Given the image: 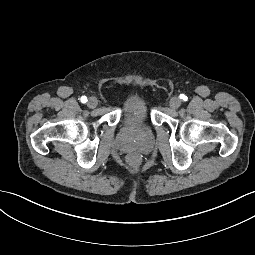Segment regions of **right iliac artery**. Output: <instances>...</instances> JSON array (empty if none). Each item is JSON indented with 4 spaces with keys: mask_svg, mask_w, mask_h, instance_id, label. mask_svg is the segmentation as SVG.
Returning a JSON list of instances; mask_svg holds the SVG:
<instances>
[{
    "mask_svg": "<svg viewBox=\"0 0 255 255\" xmlns=\"http://www.w3.org/2000/svg\"><path fill=\"white\" fill-rule=\"evenodd\" d=\"M86 101H87V97H86V96H82V97H81V102H82V103H85Z\"/></svg>",
    "mask_w": 255,
    "mask_h": 255,
    "instance_id": "right-iliac-artery-1",
    "label": "right iliac artery"
}]
</instances>
